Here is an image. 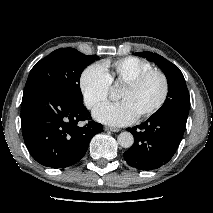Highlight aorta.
I'll use <instances>...</instances> for the list:
<instances>
[{"instance_id":"1","label":"aorta","mask_w":213,"mask_h":213,"mask_svg":"<svg viewBox=\"0 0 213 213\" xmlns=\"http://www.w3.org/2000/svg\"><path fill=\"white\" fill-rule=\"evenodd\" d=\"M118 144L123 148H129L134 143V137L130 132H121L117 138Z\"/></svg>"}]
</instances>
